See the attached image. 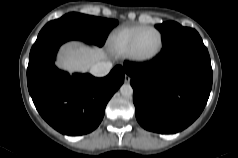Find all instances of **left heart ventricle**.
Instances as JSON below:
<instances>
[{
    "label": "left heart ventricle",
    "instance_id": "b2bd125f",
    "mask_svg": "<svg viewBox=\"0 0 238 158\" xmlns=\"http://www.w3.org/2000/svg\"><path fill=\"white\" fill-rule=\"evenodd\" d=\"M158 45V34L153 30H147L140 36L136 50L139 55L147 56L155 52Z\"/></svg>",
    "mask_w": 238,
    "mask_h": 158
}]
</instances>
